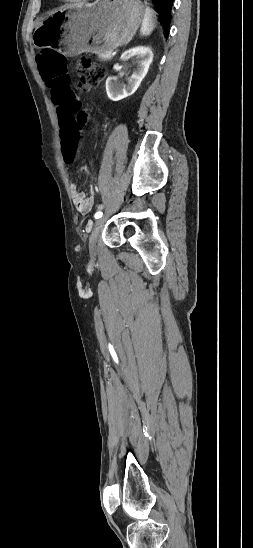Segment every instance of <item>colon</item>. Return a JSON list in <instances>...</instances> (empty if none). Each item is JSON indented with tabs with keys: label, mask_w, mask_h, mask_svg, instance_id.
I'll return each mask as SVG.
<instances>
[{
	"label": "colon",
	"mask_w": 253,
	"mask_h": 548,
	"mask_svg": "<svg viewBox=\"0 0 253 548\" xmlns=\"http://www.w3.org/2000/svg\"><path fill=\"white\" fill-rule=\"evenodd\" d=\"M41 80L49 87L51 102L56 106V118L61 128L63 154L68 165L75 159V142L82 136L85 114L74 94L75 82L70 80L69 61L57 52L43 49L38 56ZM78 88L88 92L104 78V69L88 58H82L77 64ZM69 96V97H67Z\"/></svg>",
	"instance_id": "1"
}]
</instances>
